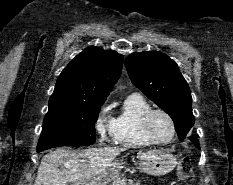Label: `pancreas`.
Returning a JSON list of instances; mask_svg holds the SVG:
<instances>
[{"mask_svg":"<svg viewBox=\"0 0 233 185\" xmlns=\"http://www.w3.org/2000/svg\"><path fill=\"white\" fill-rule=\"evenodd\" d=\"M112 185H141L140 182L133 183L132 180L127 178H117L113 181Z\"/></svg>","mask_w":233,"mask_h":185,"instance_id":"cf45deb5","label":"pancreas"}]
</instances>
